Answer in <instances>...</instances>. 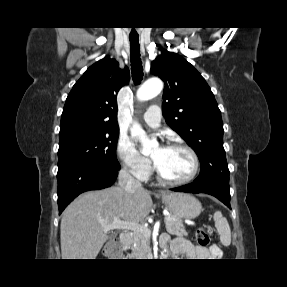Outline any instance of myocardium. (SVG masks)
Returning <instances> with one entry per match:
<instances>
[{
	"label": "myocardium",
	"instance_id": "1",
	"mask_svg": "<svg viewBox=\"0 0 287 287\" xmlns=\"http://www.w3.org/2000/svg\"><path fill=\"white\" fill-rule=\"evenodd\" d=\"M164 148H169V149L180 148V149L186 150L190 154V156L192 157L193 170L190 173V175L188 177L184 178V179L172 180V179H169V178L165 177L162 174V172L158 168L156 162L152 159V161H153V168H154V170L156 172L157 178L161 182H163L165 184H168V185H173V186L185 185V184H188V183L192 182L196 178V176L198 175L199 170H200V165H201L199 155L194 150V148H192L188 144H185V143H182V142H170V143L166 144L164 146Z\"/></svg>",
	"mask_w": 287,
	"mask_h": 287
}]
</instances>
